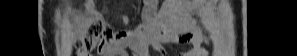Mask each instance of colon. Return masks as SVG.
Here are the masks:
<instances>
[{
    "label": "colon",
    "instance_id": "obj_1",
    "mask_svg": "<svg viewBox=\"0 0 297 56\" xmlns=\"http://www.w3.org/2000/svg\"><path fill=\"white\" fill-rule=\"evenodd\" d=\"M78 21L81 34L75 39V48L81 52L99 49L107 34L105 24L98 19L86 22L80 16Z\"/></svg>",
    "mask_w": 297,
    "mask_h": 56
}]
</instances>
